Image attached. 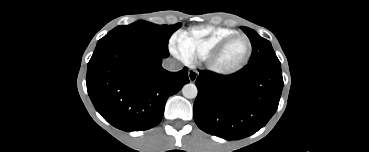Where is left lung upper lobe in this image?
<instances>
[{"mask_svg":"<svg viewBox=\"0 0 369 152\" xmlns=\"http://www.w3.org/2000/svg\"><path fill=\"white\" fill-rule=\"evenodd\" d=\"M245 34L249 37L252 44V55L248 64L245 67L258 65H280L271 43L260 37L254 30L241 27Z\"/></svg>","mask_w":369,"mask_h":152,"instance_id":"obj_1","label":"left lung upper lobe"}]
</instances>
